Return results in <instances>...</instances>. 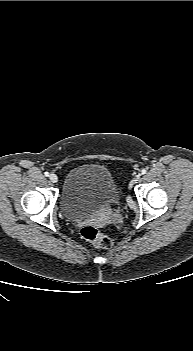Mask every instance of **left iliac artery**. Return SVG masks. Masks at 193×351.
Wrapping results in <instances>:
<instances>
[{
    "label": "left iliac artery",
    "instance_id": "1",
    "mask_svg": "<svg viewBox=\"0 0 193 351\" xmlns=\"http://www.w3.org/2000/svg\"><path fill=\"white\" fill-rule=\"evenodd\" d=\"M147 170L146 169H142L141 170V174H146Z\"/></svg>",
    "mask_w": 193,
    "mask_h": 351
}]
</instances>
